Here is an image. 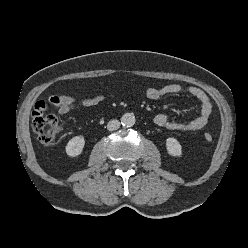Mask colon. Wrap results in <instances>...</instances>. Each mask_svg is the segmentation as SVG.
Returning a JSON list of instances; mask_svg holds the SVG:
<instances>
[{"label": "colon", "mask_w": 248, "mask_h": 248, "mask_svg": "<svg viewBox=\"0 0 248 248\" xmlns=\"http://www.w3.org/2000/svg\"><path fill=\"white\" fill-rule=\"evenodd\" d=\"M33 130L43 144L50 145L55 141L59 133L58 120L51 115L34 118ZM212 139L210 133H204V140L206 142H211Z\"/></svg>", "instance_id": "colon-1"}]
</instances>
